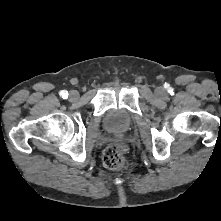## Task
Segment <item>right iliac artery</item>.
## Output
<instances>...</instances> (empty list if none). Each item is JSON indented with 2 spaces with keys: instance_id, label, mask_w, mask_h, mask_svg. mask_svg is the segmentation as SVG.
Instances as JSON below:
<instances>
[{
  "instance_id": "right-iliac-artery-1",
  "label": "right iliac artery",
  "mask_w": 221,
  "mask_h": 221,
  "mask_svg": "<svg viewBox=\"0 0 221 221\" xmlns=\"http://www.w3.org/2000/svg\"><path fill=\"white\" fill-rule=\"evenodd\" d=\"M60 96H61L63 99H66L67 96H68V92L65 91V90H63V91L60 92Z\"/></svg>"
}]
</instances>
